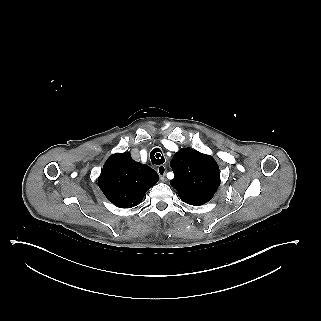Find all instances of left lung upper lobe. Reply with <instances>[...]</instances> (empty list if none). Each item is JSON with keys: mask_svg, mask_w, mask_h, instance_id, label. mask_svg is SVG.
Returning <instances> with one entry per match:
<instances>
[{"mask_svg": "<svg viewBox=\"0 0 321 321\" xmlns=\"http://www.w3.org/2000/svg\"><path fill=\"white\" fill-rule=\"evenodd\" d=\"M170 165L175 174L170 184L187 204L211 199L220 185L218 164L209 155L183 148L174 155Z\"/></svg>", "mask_w": 321, "mask_h": 321, "instance_id": "left-lung-upper-lobe-1", "label": "left lung upper lobe"}]
</instances>
